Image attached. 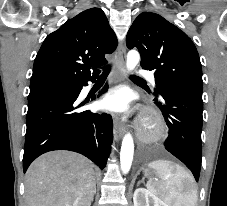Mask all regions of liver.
<instances>
[{"label": "liver", "instance_id": "1", "mask_svg": "<svg viewBox=\"0 0 227 206\" xmlns=\"http://www.w3.org/2000/svg\"><path fill=\"white\" fill-rule=\"evenodd\" d=\"M95 187L90 160L68 151L49 152L27 170L26 206H90Z\"/></svg>", "mask_w": 227, "mask_h": 206}]
</instances>
